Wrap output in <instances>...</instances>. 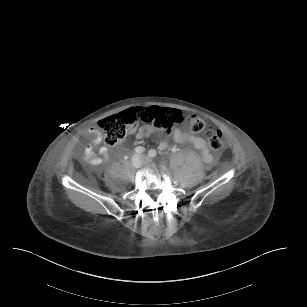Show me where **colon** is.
Returning a JSON list of instances; mask_svg holds the SVG:
<instances>
[{
    "mask_svg": "<svg viewBox=\"0 0 307 307\" xmlns=\"http://www.w3.org/2000/svg\"><path fill=\"white\" fill-rule=\"evenodd\" d=\"M124 116H134L135 121L139 120L148 124L163 134H169L172 127L189 123L193 132H201L204 128V136L213 150L219 151L223 148L222 132L214 126H206L204 122L194 114L184 115L182 111L172 108H162L161 111H124L121 114L111 115L98 122V130L102 133L104 141L111 147L118 146L126 136L127 127L132 123H124Z\"/></svg>",
    "mask_w": 307,
    "mask_h": 307,
    "instance_id": "colon-1",
    "label": "colon"
}]
</instances>
